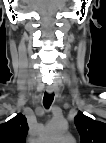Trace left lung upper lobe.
Segmentation results:
<instances>
[{
  "instance_id": "obj_1",
  "label": "left lung upper lobe",
  "mask_w": 106,
  "mask_h": 143,
  "mask_svg": "<svg viewBox=\"0 0 106 143\" xmlns=\"http://www.w3.org/2000/svg\"><path fill=\"white\" fill-rule=\"evenodd\" d=\"M74 123L81 136V143H106L105 123L95 121L82 112H78Z\"/></svg>"
}]
</instances>
